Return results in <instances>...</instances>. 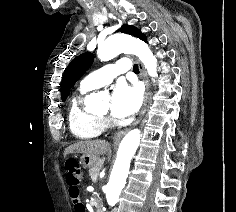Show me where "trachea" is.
I'll return each instance as SVG.
<instances>
[{
    "label": "trachea",
    "instance_id": "obj_1",
    "mask_svg": "<svg viewBox=\"0 0 236 212\" xmlns=\"http://www.w3.org/2000/svg\"><path fill=\"white\" fill-rule=\"evenodd\" d=\"M133 72H135V73H138V72H139V68H138V65H137V64H135V65L133 66Z\"/></svg>",
    "mask_w": 236,
    "mask_h": 212
}]
</instances>
